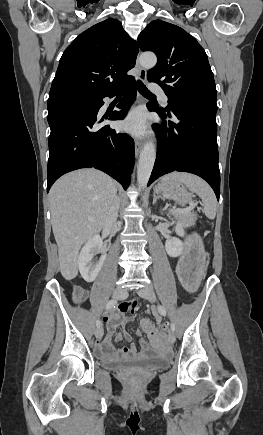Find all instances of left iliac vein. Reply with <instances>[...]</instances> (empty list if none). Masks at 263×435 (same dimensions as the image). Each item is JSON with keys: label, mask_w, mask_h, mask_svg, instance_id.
I'll list each match as a JSON object with an SVG mask.
<instances>
[{"label": "left iliac vein", "mask_w": 263, "mask_h": 435, "mask_svg": "<svg viewBox=\"0 0 263 435\" xmlns=\"http://www.w3.org/2000/svg\"><path fill=\"white\" fill-rule=\"evenodd\" d=\"M138 295L141 296L142 298H145L149 301H155L156 297L152 291V289L149 286H145L142 289L138 290ZM175 334L174 332L171 330L168 333V341L172 344L175 342Z\"/></svg>", "instance_id": "1"}]
</instances>
